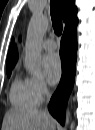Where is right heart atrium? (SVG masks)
Instances as JSON below:
<instances>
[{
    "label": "right heart atrium",
    "mask_w": 95,
    "mask_h": 130,
    "mask_svg": "<svg viewBox=\"0 0 95 130\" xmlns=\"http://www.w3.org/2000/svg\"><path fill=\"white\" fill-rule=\"evenodd\" d=\"M29 81L38 102L42 101L45 97L48 96L49 87L43 78L31 77L29 78Z\"/></svg>",
    "instance_id": "right-heart-atrium-1"
}]
</instances>
